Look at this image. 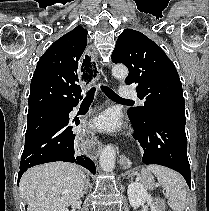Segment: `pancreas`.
I'll return each instance as SVG.
<instances>
[{
  "instance_id": "cf45deb5",
  "label": "pancreas",
  "mask_w": 209,
  "mask_h": 211,
  "mask_svg": "<svg viewBox=\"0 0 209 211\" xmlns=\"http://www.w3.org/2000/svg\"><path fill=\"white\" fill-rule=\"evenodd\" d=\"M143 183H144V185L146 186V188H148V189H153V182L152 181H149V180H143Z\"/></svg>"
}]
</instances>
